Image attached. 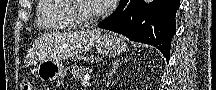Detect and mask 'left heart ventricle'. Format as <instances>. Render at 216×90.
<instances>
[{
	"instance_id": "left-heart-ventricle-1",
	"label": "left heart ventricle",
	"mask_w": 216,
	"mask_h": 90,
	"mask_svg": "<svg viewBox=\"0 0 216 90\" xmlns=\"http://www.w3.org/2000/svg\"><path fill=\"white\" fill-rule=\"evenodd\" d=\"M100 1H76L75 11L81 16L94 17L100 7Z\"/></svg>"
}]
</instances>
